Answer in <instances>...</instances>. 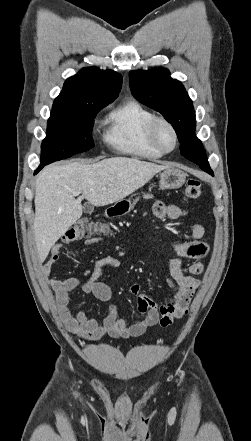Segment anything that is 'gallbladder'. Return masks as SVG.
Segmentation results:
<instances>
[{"mask_svg":"<svg viewBox=\"0 0 251 441\" xmlns=\"http://www.w3.org/2000/svg\"><path fill=\"white\" fill-rule=\"evenodd\" d=\"M93 211H94V206L91 203L87 202L84 205V212L87 214H91Z\"/></svg>","mask_w":251,"mask_h":441,"instance_id":"1","label":"gallbladder"}]
</instances>
